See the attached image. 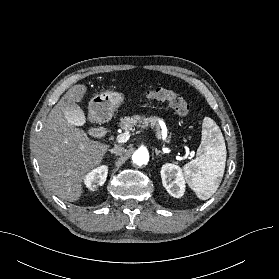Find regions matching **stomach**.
<instances>
[{"label":"stomach","instance_id":"stomach-1","mask_svg":"<svg viewBox=\"0 0 279 279\" xmlns=\"http://www.w3.org/2000/svg\"><path fill=\"white\" fill-rule=\"evenodd\" d=\"M124 101V94L117 91L107 90L95 95L89 102L90 119L97 123L108 122Z\"/></svg>","mask_w":279,"mask_h":279}]
</instances>
